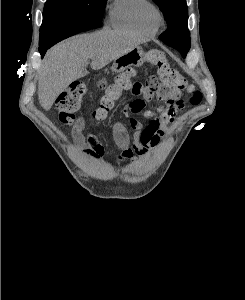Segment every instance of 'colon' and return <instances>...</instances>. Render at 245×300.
I'll use <instances>...</instances> for the list:
<instances>
[{"label": "colon", "mask_w": 245, "mask_h": 300, "mask_svg": "<svg viewBox=\"0 0 245 300\" xmlns=\"http://www.w3.org/2000/svg\"><path fill=\"white\" fill-rule=\"evenodd\" d=\"M148 61L157 68L158 80L153 78L146 84L153 93H162L172 101H175L179 100L183 91H186L191 93L190 103L192 105L200 103L202 99L201 93L194 91L193 87L180 72L169 64L164 53L158 50L151 51L148 54ZM133 73V70H127L115 75L110 82L105 78H101L96 82V85L103 88L105 92L100 100V105L92 114V118L95 121L105 120L116 102L122 97L123 91L133 86L131 82ZM86 92V84L82 81H75L62 93L57 101L59 120L62 124L70 126L74 122L75 113L79 110ZM130 106L133 110L138 111L144 107V102L140 99H135L130 102Z\"/></svg>", "instance_id": "colon-1"}]
</instances>
